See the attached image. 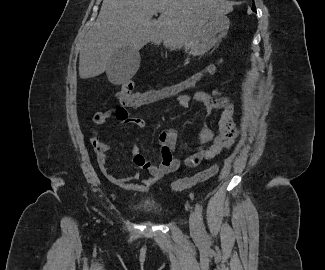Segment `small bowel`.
Masks as SVG:
<instances>
[{
    "label": "small bowel",
    "instance_id": "c3829d8e",
    "mask_svg": "<svg viewBox=\"0 0 325 270\" xmlns=\"http://www.w3.org/2000/svg\"><path fill=\"white\" fill-rule=\"evenodd\" d=\"M179 83V82H178ZM162 89V88H157ZM134 96H144L143 92H137ZM176 103L183 109H189L192 102L202 106L205 118L209 117L214 111L222 109L218 120L217 132H213L205 124L202 125L199 132V141L201 144H209L207 148H200L197 152L185 160L187 166H196L201 161L212 160L218 156L224 149L231 147L236 138L237 130L234 122L235 106L228 98L221 96L218 91L207 93L197 91L193 96L182 93L181 96H173ZM155 103H119L118 107L108 112H98L93 121L96 125L104 124L110 118L115 117L117 121L129 123L135 127H143L144 120L141 117L130 118L129 111L133 108H141ZM176 130L170 128L162 131L159 135V144L161 147V162L154 164L147 160L141 153L136 144H132V161L141 169L148 171L149 176L142 178L139 172L129 176L117 177L111 173L108 167L107 153L111 146L102 142L98 137L92 138V145L97 154L98 165L105 177L114 185L132 191L145 192L151 185L159 181L165 175L175 172L180 167V161L173 157V151L177 142Z\"/></svg>",
    "mask_w": 325,
    "mask_h": 270
}]
</instances>
